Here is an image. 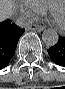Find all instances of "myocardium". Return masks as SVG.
Segmentation results:
<instances>
[{
	"label": "myocardium",
	"instance_id": "1",
	"mask_svg": "<svg viewBox=\"0 0 65 89\" xmlns=\"http://www.w3.org/2000/svg\"><path fill=\"white\" fill-rule=\"evenodd\" d=\"M60 5H65L61 2H54L48 8V15L51 23H53L58 29L65 30V22L64 24H60L55 20V11Z\"/></svg>",
	"mask_w": 65,
	"mask_h": 89
}]
</instances>
